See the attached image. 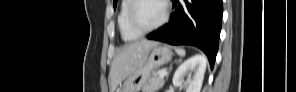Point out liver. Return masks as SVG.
Listing matches in <instances>:
<instances>
[{"instance_id":"6515ba94","label":"liver","mask_w":296,"mask_h":92,"mask_svg":"<svg viewBox=\"0 0 296 92\" xmlns=\"http://www.w3.org/2000/svg\"><path fill=\"white\" fill-rule=\"evenodd\" d=\"M158 42L141 40L122 46L116 53L110 70L111 91L115 92L118 85L141 67L147 60L150 50Z\"/></svg>"}]
</instances>
